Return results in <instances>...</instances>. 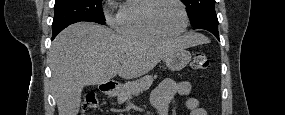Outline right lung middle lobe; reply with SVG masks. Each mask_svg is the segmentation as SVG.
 Here are the masks:
<instances>
[{
    "label": "right lung middle lobe",
    "instance_id": "right-lung-middle-lobe-1",
    "mask_svg": "<svg viewBox=\"0 0 285 115\" xmlns=\"http://www.w3.org/2000/svg\"><path fill=\"white\" fill-rule=\"evenodd\" d=\"M102 0H56L52 29H58L79 21L104 25Z\"/></svg>",
    "mask_w": 285,
    "mask_h": 115
}]
</instances>
